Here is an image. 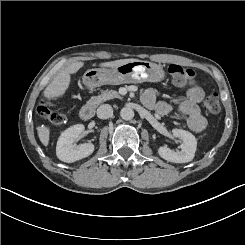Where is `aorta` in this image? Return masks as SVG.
I'll use <instances>...</instances> for the list:
<instances>
[{"label": "aorta", "mask_w": 245, "mask_h": 245, "mask_svg": "<svg viewBox=\"0 0 245 245\" xmlns=\"http://www.w3.org/2000/svg\"><path fill=\"white\" fill-rule=\"evenodd\" d=\"M120 116L122 117V119L124 120H131L134 117V111L133 109H131L130 107H124L121 109L120 111Z\"/></svg>", "instance_id": "aorta-1"}]
</instances>
